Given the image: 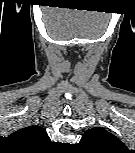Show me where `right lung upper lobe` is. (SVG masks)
<instances>
[{
  "mask_svg": "<svg viewBox=\"0 0 135 153\" xmlns=\"http://www.w3.org/2000/svg\"><path fill=\"white\" fill-rule=\"evenodd\" d=\"M15 135L21 137V139L25 141L37 144L49 141V137L46 131L42 127L37 125L20 129L15 132Z\"/></svg>",
  "mask_w": 135,
  "mask_h": 153,
  "instance_id": "right-lung-upper-lobe-1",
  "label": "right lung upper lobe"
}]
</instances>
